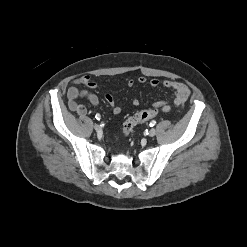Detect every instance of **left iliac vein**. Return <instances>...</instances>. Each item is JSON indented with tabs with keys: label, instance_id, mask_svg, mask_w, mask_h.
Wrapping results in <instances>:
<instances>
[{
	"label": "left iliac vein",
	"instance_id": "4c4485c4",
	"mask_svg": "<svg viewBox=\"0 0 247 247\" xmlns=\"http://www.w3.org/2000/svg\"><path fill=\"white\" fill-rule=\"evenodd\" d=\"M155 134H156V129L155 128L150 129L149 136L153 137V136H155Z\"/></svg>",
	"mask_w": 247,
	"mask_h": 247
}]
</instances>
